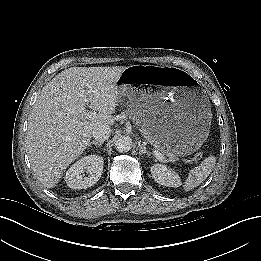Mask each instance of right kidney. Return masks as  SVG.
I'll list each match as a JSON object with an SVG mask.
<instances>
[{
	"label": "right kidney",
	"mask_w": 261,
	"mask_h": 261,
	"mask_svg": "<svg viewBox=\"0 0 261 261\" xmlns=\"http://www.w3.org/2000/svg\"><path fill=\"white\" fill-rule=\"evenodd\" d=\"M103 158L88 155L76 161L66 172L65 181L72 189H86L94 185L103 172ZM87 173V176H84Z\"/></svg>",
	"instance_id": "ca27d5eb"
}]
</instances>
